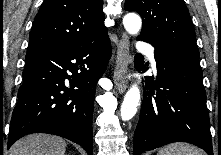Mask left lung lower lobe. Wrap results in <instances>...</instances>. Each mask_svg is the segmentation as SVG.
Returning a JSON list of instances; mask_svg holds the SVG:
<instances>
[{"mask_svg": "<svg viewBox=\"0 0 221 155\" xmlns=\"http://www.w3.org/2000/svg\"><path fill=\"white\" fill-rule=\"evenodd\" d=\"M138 39L155 47L157 80L146 77L133 154L184 141L213 155L199 54ZM143 60L141 54H136L134 64L146 71Z\"/></svg>", "mask_w": 221, "mask_h": 155, "instance_id": "0a47b994", "label": "left lung lower lobe"}]
</instances>
